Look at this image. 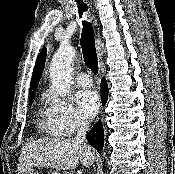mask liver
<instances>
[{"instance_id":"obj_1","label":"liver","mask_w":175,"mask_h":174,"mask_svg":"<svg viewBox=\"0 0 175 174\" xmlns=\"http://www.w3.org/2000/svg\"><path fill=\"white\" fill-rule=\"evenodd\" d=\"M94 160V151L87 146L76 143L74 139L46 138L28 142L22 146L18 172L19 174L23 173L35 166L58 170L75 169L79 161L84 167H89L94 163Z\"/></svg>"}]
</instances>
